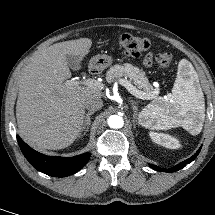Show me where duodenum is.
<instances>
[{
    "instance_id": "1",
    "label": "duodenum",
    "mask_w": 215,
    "mask_h": 215,
    "mask_svg": "<svg viewBox=\"0 0 215 215\" xmlns=\"http://www.w3.org/2000/svg\"><path fill=\"white\" fill-rule=\"evenodd\" d=\"M89 71H90L91 73H95V72H96V70H95L94 67H90Z\"/></svg>"
}]
</instances>
